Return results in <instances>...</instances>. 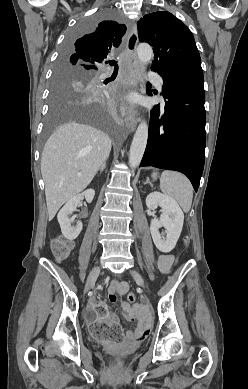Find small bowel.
Returning a JSON list of instances; mask_svg holds the SVG:
<instances>
[{
    "label": "small bowel",
    "mask_w": 248,
    "mask_h": 389,
    "mask_svg": "<svg viewBox=\"0 0 248 389\" xmlns=\"http://www.w3.org/2000/svg\"><path fill=\"white\" fill-rule=\"evenodd\" d=\"M175 257L170 254L162 255L159 258V268L162 273H169L172 266L175 264ZM128 291V284L125 282H112L108 290V298L111 302L117 300V295H125ZM96 303H92L90 309H88L86 316L87 318L95 322L94 307ZM122 308L125 312L126 319L128 321H137V328L133 331H126L124 335L123 342L131 347L136 348L142 341L146 339L150 332L149 322L146 316V310L142 305L131 306L127 302L122 303ZM108 319L111 322H117V317L115 315H109Z\"/></svg>",
    "instance_id": "obj_1"
}]
</instances>
